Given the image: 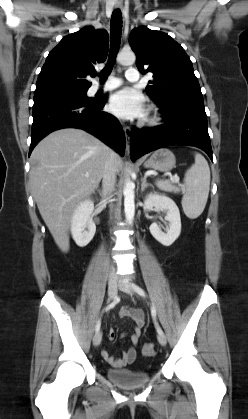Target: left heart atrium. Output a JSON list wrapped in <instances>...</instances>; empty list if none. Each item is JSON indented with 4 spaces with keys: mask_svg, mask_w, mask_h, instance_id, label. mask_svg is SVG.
I'll return each mask as SVG.
<instances>
[{
    "mask_svg": "<svg viewBox=\"0 0 248 419\" xmlns=\"http://www.w3.org/2000/svg\"><path fill=\"white\" fill-rule=\"evenodd\" d=\"M109 109L123 119L142 118L146 114L145 98L133 88H124L111 96Z\"/></svg>",
    "mask_w": 248,
    "mask_h": 419,
    "instance_id": "obj_1",
    "label": "left heart atrium"
}]
</instances>
